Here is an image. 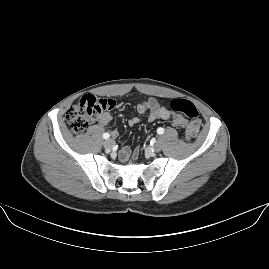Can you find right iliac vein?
Instances as JSON below:
<instances>
[{
  "label": "right iliac vein",
  "instance_id": "obj_1",
  "mask_svg": "<svg viewBox=\"0 0 269 269\" xmlns=\"http://www.w3.org/2000/svg\"><path fill=\"white\" fill-rule=\"evenodd\" d=\"M114 145V141L112 139H108L104 142V147L106 149H111Z\"/></svg>",
  "mask_w": 269,
  "mask_h": 269
}]
</instances>
